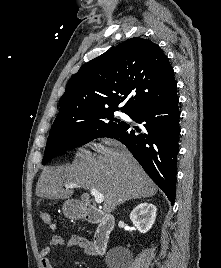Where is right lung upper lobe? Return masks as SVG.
Returning <instances> with one entry per match:
<instances>
[{
	"mask_svg": "<svg viewBox=\"0 0 221 268\" xmlns=\"http://www.w3.org/2000/svg\"><path fill=\"white\" fill-rule=\"evenodd\" d=\"M175 95L173 68L162 49L134 37L85 63L70 78L56 119L115 110L130 116Z\"/></svg>",
	"mask_w": 221,
	"mask_h": 268,
	"instance_id": "cb5924a9",
	"label": "right lung upper lobe"
}]
</instances>
